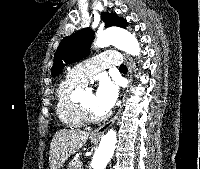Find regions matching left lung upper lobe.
Here are the masks:
<instances>
[{
  "label": "left lung upper lobe",
  "mask_w": 200,
  "mask_h": 169,
  "mask_svg": "<svg viewBox=\"0 0 200 169\" xmlns=\"http://www.w3.org/2000/svg\"><path fill=\"white\" fill-rule=\"evenodd\" d=\"M102 19L105 27L118 26L126 28L127 22L112 13H102ZM94 38V32L90 28H84L71 36L64 38L59 44L54 55L52 75L56 76L63 69V62L74 63L89 54L91 42Z\"/></svg>",
  "instance_id": "left-lung-upper-lobe-1"
}]
</instances>
